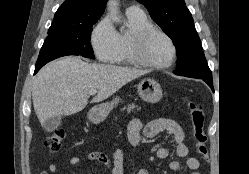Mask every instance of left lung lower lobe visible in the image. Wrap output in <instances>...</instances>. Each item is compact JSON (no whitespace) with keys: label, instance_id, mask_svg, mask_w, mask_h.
<instances>
[{"label":"left lung lower lobe","instance_id":"obj_1","mask_svg":"<svg viewBox=\"0 0 249 174\" xmlns=\"http://www.w3.org/2000/svg\"><path fill=\"white\" fill-rule=\"evenodd\" d=\"M198 79H202L203 81H205L210 86V88L212 89V91H214L213 80L212 79H207V78H198Z\"/></svg>","mask_w":249,"mask_h":174}]
</instances>
